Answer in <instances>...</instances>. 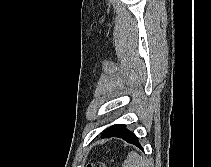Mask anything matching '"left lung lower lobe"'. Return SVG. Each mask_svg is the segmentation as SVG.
<instances>
[{
    "label": "left lung lower lobe",
    "mask_w": 211,
    "mask_h": 167,
    "mask_svg": "<svg viewBox=\"0 0 211 167\" xmlns=\"http://www.w3.org/2000/svg\"><path fill=\"white\" fill-rule=\"evenodd\" d=\"M101 137H119L142 149L136 135L127 130L123 124L112 125L101 134Z\"/></svg>",
    "instance_id": "0a47b994"
}]
</instances>
